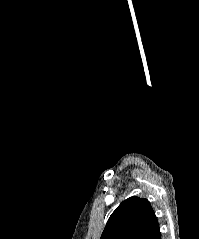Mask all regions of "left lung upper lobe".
Wrapping results in <instances>:
<instances>
[{"label": "left lung upper lobe", "mask_w": 199, "mask_h": 239, "mask_svg": "<svg viewBox=\"0 0 199 239\" xmlns=\"http://www.w3.org/2000/svg\"><path fill=\"white\" fill-rule=\"evenodd\" d=\"M159 232L147 199L130 197L111 214L100 239H154Z\"/></svg>", "instance_id": "5c2ea615"}]
</instances>
